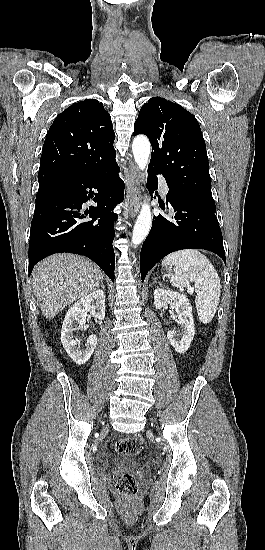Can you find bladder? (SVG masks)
Returning a JSON list of instances; mask_svg holds the SVG:
<instances>
[{"label": "bladder", "instance_id": "obj_1", "mask_svg": "<svg viewBox=\"0 0 265 550\" xmlns=\"http://www.w3.org/2000/svg\"><path fill=\"white\" fill-rule=\"evenodd\" d=\"M113 464L122 467H132L135 465V459L133 455L118 454V457L114 459Z\"/></svg>", "mask_w": 265, "mask_h": 550}]
</instances>
